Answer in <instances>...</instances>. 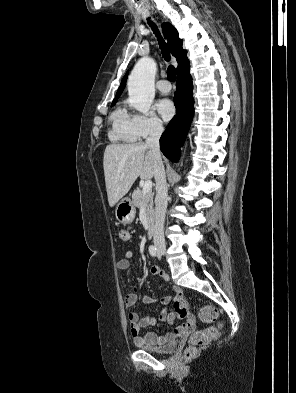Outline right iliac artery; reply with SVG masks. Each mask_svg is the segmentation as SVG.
<instances>
[{"instance_id":"82829eb1","label":"right iliac artery","mask_w":296,"mask_h":393,"mask_svg":"<svg viewBox=\"0 0 296 393\" xmlns=\"http://www.w3.org/2000/svg\"><path fill=\"white\" fill-rule=\"evenodd\" d=\"M149 253H150L151 256L155 257L156 254H157L156 247H154L153 245H151V246L149 247Z\"/></svg>"}]
</instances>
